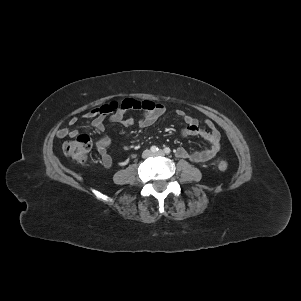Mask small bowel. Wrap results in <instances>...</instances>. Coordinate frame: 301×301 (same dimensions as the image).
Here are the masks:
<instances>
[{"label":"small bowel","mask_w":301,"mask_h":301,"mask_svg":"<svg viewBox=\"0 0 301 301\" xmlns=\"http://www.w3.org/2000/svg\"><path fill=\"white\" fill-rule=\"evenodd\" d=\"M100 107L93 108L85 114V118H93V128L101 133V137L96 142V149L100 155L102 164L110 168L113 166V159L109 153L110 139L104 135L105 121L109 119L113 122H118L124 126H133L136 121L133 118L126 117L128 110H137L140 112V117L137 123L142 128L152 126L160 117L166 114L165 107L153 101H138L135 99H125L120 103V108L111 113L100 112ZM176 114L181 117L186 126L182 130L184 137L200 136L208 144L209 147L202 151H189L183 147L176 150V155L180 158L187 159L193 163L206 164L210 162L220 150V133L215 128L210 120H206V128L202 129L196 118L186 114L183 110H176ZM78 123V118L74 117L69 121L70 126H75ZM78 135L75 129L61 128L57 132L58 138L71 137Z\"/></svg>","instance_id":"c3829d8e"}]
</instances>
